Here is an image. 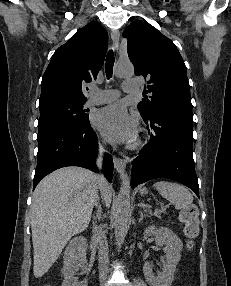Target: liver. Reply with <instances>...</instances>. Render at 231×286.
<instances>
[{"mask_svg":"<svg viewBox=\"0 0 231 286\" xmlns=\"http://www.w3.org/2000/svg\"><path fill=\"white\" fill-rule=\"evenodd\" d=\"M98 189L109 207L111 186L106 182L99 187L96 175L83 168H60L37 185L31 204L36 278L50 269L72 236L88 227Z\"/></svg>","mask_w":231,"mask_h":286,"instance_id":"1","label":"liver"}]
</instances>
